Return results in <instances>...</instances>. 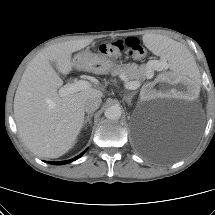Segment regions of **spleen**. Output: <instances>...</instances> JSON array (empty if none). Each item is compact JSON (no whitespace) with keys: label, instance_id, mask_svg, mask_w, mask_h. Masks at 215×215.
I'll return each mask as SVG.
<instances>
[{"label":"spleen","instance_id":"obj_1","mask_svg":"<svg viewBox=\"0 0 215 215\" xmlns=\"http://www.w3.org/2000/svg\"><path fill=\"white\" fill-rule=\"evenodd\" d=\"M144 44L153 52L165 57L170 69L187 82H192L199 73L198 62L192 53L184 47H179L175 42L158 35L148 34L144 38Z\"/></svg>","mask_w":215,"mask_h":215}]
</instances>
